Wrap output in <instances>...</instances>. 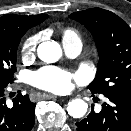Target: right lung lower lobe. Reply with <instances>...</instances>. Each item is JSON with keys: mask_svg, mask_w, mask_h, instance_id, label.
Returning <instances> with one entry per match:
<instances>
[{"mask_svg": "<svg viewBox=\"0 0 131 131\" xmlns=\"http://www.w3.org/2000/svg\"><path fill=\"white\" fill-rule=\"evenodd\" d=\"M6 87L0 86V131H31L36 104L28 95L20 94L13 101V107H7L4 97Z\"/></svg>", "mask_w": 131, "mask_h": 131, "instance_id": "right-lung-lower-lobe-1", "label": "right lung lower lobe"}]
</instances>
